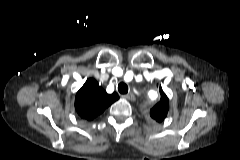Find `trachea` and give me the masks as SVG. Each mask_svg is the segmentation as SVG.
I'll return each mask as SVG.
<instances>
[{"label": "trachea", "instance_id": "1", "mask_svg": "<svg viewBox=\"0 0 240 160\" xmlns=\"http://www.w3.org/2000/svg\"><path fill=\"white\" fill-rule=\"evenodd\" d=\"M118 91L120 94H127L128 93V86L121 82L118 84Z\"/></svg>", "mask_w": 240, "mask_h": 160}]
</instances>
